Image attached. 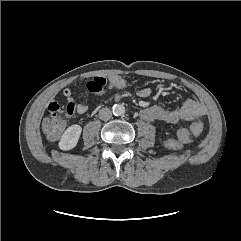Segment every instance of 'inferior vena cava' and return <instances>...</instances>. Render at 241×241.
Listing matches in <instances>:
<instances>
[{
	"mask_svg": "<svg viewBox=\"0 0 241 241\" xmlns=\"http://www.w3.org/2000/svg\"><path fill=\"white\" fill-rule=\"evenodd\" d=\"M112 117V112L109 108L105 107L99 111V118L101 120H109Z\"/></svg>",
	"mask_w": 241,
	"mask_h": 241,
	"instance_id": "1",
	"label": "inferior vena cava"
}]
</instances>
